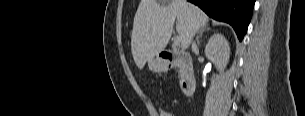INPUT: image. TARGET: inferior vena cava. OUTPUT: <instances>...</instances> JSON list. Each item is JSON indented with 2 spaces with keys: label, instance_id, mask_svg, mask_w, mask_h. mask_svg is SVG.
Masks as SVG:
<instances>
[{
  "label": "inferior vena cava",
  "instance_id": "602c4592",
  "mask_svg": "<svg viewBox=\"0 0 305 116\" xmlns=\"http://www.w3.org/2000/svg\"><path fill=\"white\" fill-rule=\"evenodd\" d=\"M195 47H196L195 43L192 42V50H193V51L195 50Z\"/></svg>",
  "mask_w": 305,
  "mask_h": 116
}]
</instances>
